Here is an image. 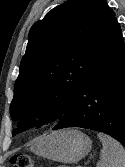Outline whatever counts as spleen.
<instances>
[{
	"instance_id": "spleen-1",
	"label": "spleen",
	"mask_w": 125,
	"mask_h": 167,
	"mask_svg": "<svg viewBox=\"0 0 125 167\" xmlns=\"http://www.w3.org/2000/svg\"><path fill=\"white\" fill-rule=\"evenodd\" d=\"M98 137L102 142L100 160L97 167H125V149L115 139L99 133Z\"/></svg>"
}]
</instances>
